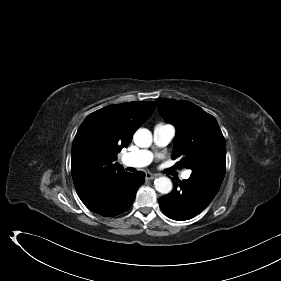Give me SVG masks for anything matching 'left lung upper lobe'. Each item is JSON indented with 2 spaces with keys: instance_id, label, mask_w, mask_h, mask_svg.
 <instances>
[{
  "instance_id": "5c2ea615",
  "label": "left lung upper lobe",
  "mask_w": 281,
  "mask_h": 281,
  "mask_svg": "<svg viewBox=\"0 0 281 281\" xmlns=\"http://www.w3.org/2000/svg\"><path fill=\"white\" fill-rule=\"evenodd\" d=\"M162 116L176 128L172 158L192 174L223 181L226 142L216 119L188 101L156 99Z\"/></svg>"
}]
</instances>
